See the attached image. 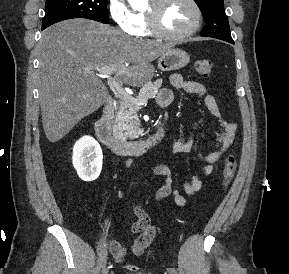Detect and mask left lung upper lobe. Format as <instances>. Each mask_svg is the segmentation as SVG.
Returning a JSON list of instances; mask_svg holds the SVG:
<instances>
[{
  "label": "left lung upper lobe",
  "instance_id": "left-lung-upper-lobe-1",
  "mask_svg": "<svg viewBox=\"0 0 289 274\" xmlns=\"http://www.w3.org/2000/svg\"><path fill=\"white\" fill-rule=\"evenodd\" d=\"M207 24L201 32L203 37L221 40H233L228 18L225 14L223 0H195Z\"/></svg>",
  "mask_w": 289,
  "mask_h": 274
}]
</instances>
